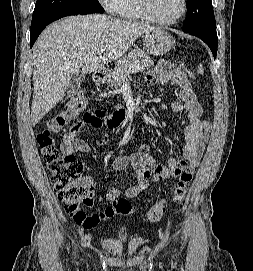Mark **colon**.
Wrapping results in <instances>:
<instances>
[{"label": "colon", "instance_id": "obj_1", "mask_svg": "<svg viewBox=\"0 0 253 271\" xmlns=\"http://www.w3.org/2000/svg\"><path fill=\"white\" fill-rule=\"evenodd\" d=\"M182 69L188 71L183 64ZM86 103V94L80 90L52 117L47 127L37 134V143L42 152L44 162L51 176L52 185L64 204L65 211L83 228H90L96 224V217L84 210L94 202L92 185L82 177V163L72 154L61 152L56 146V135L62 132L66 125L75 118ZM105 117L103 112H88L84 119L101 121ZM108 123L110 119L108 118ZM192 180V174L183 173L176 183L172 196L175 201H182L187 192V186ZM166 200L160 199L147 212L150 222H158L166 211ZM115 214L130 215L134 211L133 205L125 198H118L111 205Z\"/></svg>", "mask_w": 253, "mask_h": 271}]
</instances>
